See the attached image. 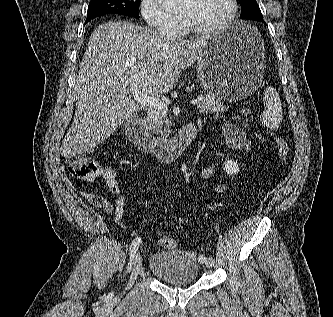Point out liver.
<instances>
[{
  "instance_id": "1",
  "label": "liver",
  "mask_w": 333,
  "mask_h": 317,
  "mask_svg": "<svg viewBox=\"0 0 333 317\" xmlns=\"http://www.w3.org/2000/svg\"><path fill=\"white\" fill-rule=\"evenodd\" d=\"M208 37L183 40L127 21L98 26L74 85L76 110L60 148L65 158L89 152L139 110L130 86L148 96L168 93L200 56Z\"/></svg>"
}]
</instances>
